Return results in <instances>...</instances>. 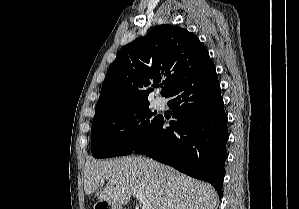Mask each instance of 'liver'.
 <instances>
[{
    "label": "liver",
    "mask_w": 299,
    "mask_h": 209,
    "mask_svg": "<svg viewBox=\"0 0 299 209\" xmlns=\"http://www.w3.org/2000/svg\"><path fill=\"white\" fill-rule=\"evenodd\" d=\"M105 180H110L111 185L103 187ZM84 190L87 195L97 191L101 201L114 207L127 204L134 191L143 194L152 209H215L218 204L217 193L210 184L136 156L88 161Z\"/></svg>",
    "instance_id": "6515ba94"
}]
</instances>
